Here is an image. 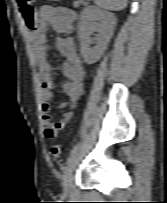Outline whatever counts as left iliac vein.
Here are the masks:
<instances>
[{"label":"left iliac vein","instance_id":"1","mask_svg":"<svg viewBox=\"0 0 167 203\" xmlns=\"http://www.w3.org/2000/svg\"><path fill=\"white\" fill-rule=\"evenodd\" d=\"M79 157V152L74 155V157L71 159V161L68 163V165L65 168L64 171V178H63V190L64 193H69L71 191V186L73 182V172L77 165Z\"/></svg>","mask_w":167,"mask_h":203}]
</instances>
